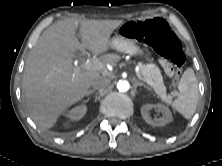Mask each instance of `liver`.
Listing matches in <instances>:
<instances>
[{
    "label": "liver",
    "instance_id": "6515ba94",
    "mask_svg": "<svg viewBox=\"0 0 222 166\" xmlns=\"http://www.w3.org/2000/svg\"><path fill=\"white\" fill-rule=\"evenodd\" d=\"M122 20L65 19L47 28L27 58L22 92L31 119L41 130L54 126L60 114L80 101L100 71L77 70L73 58L77 51L106 52L110 36ZM80 29L82 43L75 36ZM117 54H104L101 63L113 64Z\"/></svg>",
    "mask_w": 222,
    "mask_h": 166
}]
</instances>
